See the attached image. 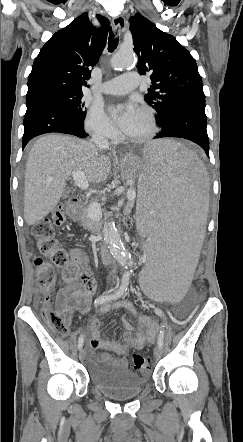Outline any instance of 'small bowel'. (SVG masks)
<instances>
[{
	"mask_svg": "<svg viewBox=\"0 0 243 442\" xmlns=\"http://www.w3.org/2000/svg\"><path fill=\"white\" fill-rule=\"evenodd\" d=\"M62 278L65 286L57 293L56 306L65 312L69 323L74 310L82 314L89 312L91 298L96 289V282L90 269L89 259L82 249L73 248L70 251V260L62 271ZM114 308L125 309L135 316L133 307L126 302L116 305L106 304L101 308V312L106 314ZM137 322L140 328L136 334H133L134 327L132 323L126 319L122 320L125 332L123 342L120 343L111 339H103L100 331L101 321L98 318L92 319L91 328L93 332L89 341V345L93 350L91 356L95 357L94 351L96 350L111 351L118 354L119 357L114 358L109 353H105L104 356L113 358L119 366L126 367V355L129 350L141 349L147 343H152L158 330L156 322L147 317H138Z\"/></svg>",
	"mask_w": 243,
	"mask_h": 442,
	"instance_id": "1",
	"label": "small bowel"
}]
</instances>
